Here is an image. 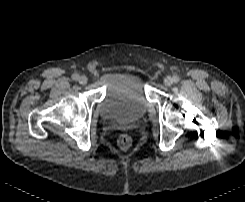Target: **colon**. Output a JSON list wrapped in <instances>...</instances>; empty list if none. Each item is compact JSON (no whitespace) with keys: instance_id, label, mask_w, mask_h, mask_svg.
<instances>
[{"instance_id":"5ec220e1","label":"colon","mask_w":245,"mask_h":202,"mask_svg":"<svg viewBox=\"0 0 245 202\" xmlns=\"http://www.w3.org/2000/svg\"><path fill=\"white\" fill-rule=\"evenodd\" d=\"M118 145L121 149L126 150L132 145V138L124 134L119 138Z\"/></svg>"}]
</instances>
